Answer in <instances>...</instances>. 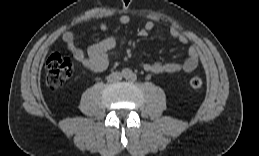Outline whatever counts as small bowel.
Returning a JSON list of instances; mask_svg holds the SVG:
<instances>
[{
	"mask_svg": "<svg viewBox=\"0 0 259 156\" xmlns=\"http://www.w3.org/2000/svg\"><path fill=\"white\" fill-rule=\"evenodd\" d=\"M131 21L128 15H122L119 18V22L122 25H127ZM108 25L106 23L100 24V30L102 32L108 31ZM154 23L148 21L145 23L144 27L139 31V35L146 37L153 30ZM170 35L177 39L181 44H186L188 42L187 36L177 28H171ZM62 40L67 46V48L72 53L73 57L80 62L85 68L93 72H102L109 66V52L116 48L117 41L114 37H107L88 48L85 52L83 51L77 41L73 32L67 31L63 34ZM199 65V54L196 46L191 45L188 49L187 58L181 62H162L156 61L152 63H142L141 67L146 72L153 74H164V73H175L179 71H184L190 73L194 71Z\"/></svg>",
	"mask_w": 259,
	"mask_h": 156,
	"instance_id": "small-bowel-1",
	"label": "small bowel"
}]
</instances>
